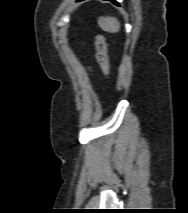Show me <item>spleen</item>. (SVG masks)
<instances>
[{
    "label": "spleen",
    "mask_w": 188,
    "mask_h": 213,
    "mask_svg": "<svg viewBox=\"0 0 188 213\" xmlns=\"http://www.w3.org/2000/svg\"><path fill=\"white\" fill-rule=\"evenodd\" d=\"M98 23L102 30L109 33H116L120 29V23L115 17H100Z\"/></svg>",
    "instance_id": "spleen-1"
}]
</instances>
